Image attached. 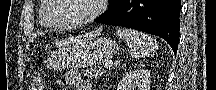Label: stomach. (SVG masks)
I'll return each instance as SVG.
<instances>
[{
    "label": "stomach",
    "instance_id": "stomach-1",
    "mask_svg": "<svg viewBox=\"0 0 216 90\" xmlns=\"http://www.w3.org/2000/svg\"><path fill=\"white\" fill-rule=\"evenodd\" d=\"M117 48V43L110 38H93L77 50L51 55L48 67L59 70L67 67L96 66L109 60Z\"/></svg>",
    "mask_w": 216,
    "mask_h": 90
}]
</instances>
